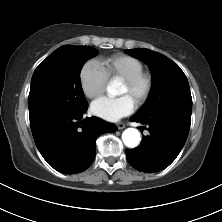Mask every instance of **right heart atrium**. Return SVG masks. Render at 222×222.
<instances>
[{"instance_id":"obj_1","label":"right heart atrium","mask_w":222,"mask_h":222,"mask_svg":"<svg viewBox=\"0 0 222 222\" xmlns=\"http://www.w3.org/2000/svg\"><path fill=\"white\" fill-rule=\"evenodd\" d=\"M79 81L84 95L94 99L105 91L108 77L97 61L89 60L80 70Z\"/></svg>"}]
</instances>
